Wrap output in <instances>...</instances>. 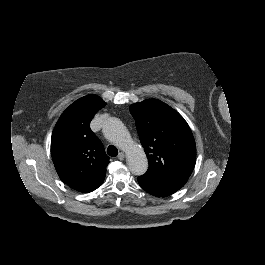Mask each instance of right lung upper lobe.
Returning a JSON list of instances; mask_svg holds the SVG:
<instances>
[{"label": "right lung upper lobe", "mask_w": 265, "mask_h": 265, "mask_svg": "<svg viewBox=\"0 0 265 265\" xmlns=\"http://www.w3.org/2000/svg\"><path fill=\"white\" fill-rule=\"evenodd\" d=\"M106 103L84 96L60 116L51 137V156L60 179L72 189L88 193L104 181L109 157L90 122Z\"/></svg>", "instance_id": "obj_1"}]
</instances>
